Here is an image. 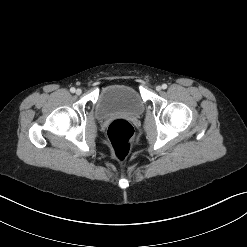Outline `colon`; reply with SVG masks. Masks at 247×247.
Wrapping results in <instances>:
<instances>
[{
	"label": "colon",
	"mask_w": 247,
	"mask_h": 247,
	"mask_svg": "<svg viewBox=\"0 0 247 247\" xmlns=\"http://www.w3.org/2000/svg\"><path fill=\"white\" fill-rule=\"evenodd\" d=\"M106 136L112 156L119 161L130 155L137 139L131 123L122 119L115 120L108 126Z\"/></svg>",
	"instance_id": "1"
}]
</instances>
